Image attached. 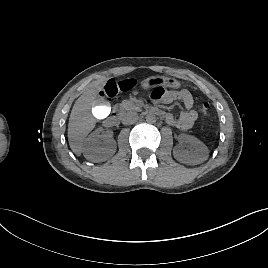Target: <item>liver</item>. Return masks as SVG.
I'll list each match as a JSON object with an SVG mask.
<instances>
[{"mask_svg":"<svg viewBox=\"0 0 268 268\" xmlns=\"http://www.w3.org/2000/svg\"><path fill=\"white\" fill-rule=\"evenodd\" d=\"M105 81L93 84L76 100L70 113L68 123V141L76 155L82 153L85 137L94 129L97 120L92 109L97 106V97Z\"/></svg>","mask_w":268,"mask_h":268,"instance_id":"6515ba94","label":"liver"}]
</instances>
